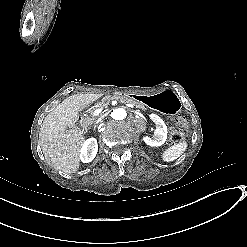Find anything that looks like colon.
<instances>
[{
  "instance_id": "obj_1",
  "label": "colon",
  "mask_w": 247,
  "mask_h": 247,
  "mask_svg": "<svg viewBox=\"0 0 247 247\" xmlns=\"http://www.w3.org/2000/svg\"><path fill=\"white\" fill-rule=\"evenodd\" d=\"M188 125L184 117H177L173 121L172 133L170 136V141L172 144H180L183 140L184 135L187 133Z\"/></svg>"
}]
</instances>
